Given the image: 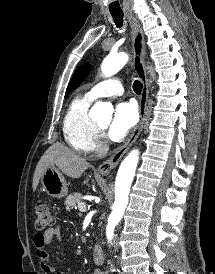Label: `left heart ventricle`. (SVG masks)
<instances>
[{
  "mask_svg": "<svg viewBox=\"0 0 215 274\" xmlns=\"http://www.w3.org/2000/svg\"><path fill=\"white\" fill-rule=\"evenodd\" d=\"M100 126H101L102 128H104V127H106V124H105V123H101Z\"/></svg>",
  "mask_w": 215,
  "mask_h": 274,
  "instance_id": "left-heart-ventricle-1",
  "label": "left heart ventricle"
}]
</instances>
